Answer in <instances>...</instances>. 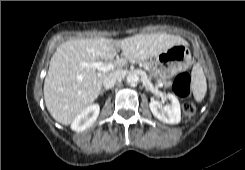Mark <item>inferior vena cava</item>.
<instances>
[{
  "label": "inferior vena cava",
  "instance_id": "602c4592",
  "mask_svg": "<svg viewBox=\"0 0 245 170\" xmlns=\"http://www.w3.org/2000/svg\"><path fill=\"white\" fill-rule=\"evenodd\" d=\"M124 77L123 72H114L105 77L103 80V86L105 89L112 88L118 81L122 80Z\"/></svg>",
  "mask_w": 245,
  "mask_h": 170
}]
</instances>
